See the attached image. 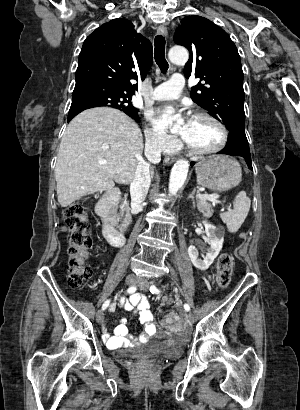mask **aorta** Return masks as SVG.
I'll return each mask as SVG.
<instances>
[{
	"instance_id": "1",
	"label": "aorta",
	"mask_w": 300,
	"mask_h": 410,
	"mask_svg": "<svg viewBox=\"0 0 300 410\" xmlns=\"http://www.w3.org/2000/svg\"><path fill=\"white\" fill-rule=\"evenodd\" d=\"M168 57L174 64H185L188 61L189 53L184 47H173L169 50ZM178 124L176 126H178ZM188 171V161L181 159L174 164L171 170L168 186L170 195H176L180 188L184 185Z\"/></svg>"
}]
</instances>
